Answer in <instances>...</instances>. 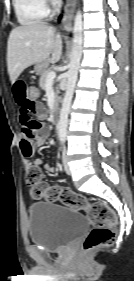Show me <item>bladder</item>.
I'll return each mask as SVG.
<instances>
[{
	"label": "bladder",
	"mask_w": 134,
	"mask_h": 281,
	"mask_svg": "<svg viewBox=\"0 0 134 281\" xmlns=\"http://www.w3.org/2000/svg\"><path fill=\"white\" fill-rule=\"evenodd\" d=\"M29 219L31 242L53 252L66 249L88 228V220L82 213L48 202L32 204Z\"/></svg>",
	"instance_id": "bladder-1"
}]
</instances>
